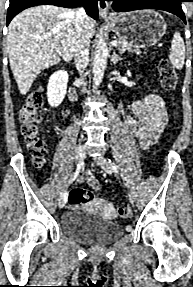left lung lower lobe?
Returning <instances> with one entry per match:
<instances>
[{"instance_id": "0a47b994", "label": "left lung lower lobe", "mask_w": 193, "mask_h": 287, "mask_svg": "<svg viewBox=\"0 0 193 287\" xmlns=\"http://www.w3.org/2000/svg\"><path fill=\"white\" fill-rule=\"evenodd\" d=\"M113 1L116 12L134 11L140 9H159L180 17L185 23V15L181 7L184 0H109Z\"/></svg>"}]
</instances>
